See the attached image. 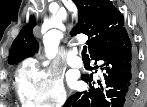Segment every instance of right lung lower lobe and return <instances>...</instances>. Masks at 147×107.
<instances>
[{"label": "right lung lower lobe", "mask_w": 147, "mask_h": 107, "mask_svg": "<svg viewBox=\"0 0 147 107\" xmlns=\"http://www.w3.org/2000/svg\"><path fill=\"white\" fill-rule=\"evenodd\" d=\"M91 58L100 62L102 77L98 87L91 84L92 75H83L82 80L90 89L77 92L68 98L64 107H129L136 79L135 57L126 29L94 50ZM95 84V82H93Z\"/></svg>", "instance_id": "right-lung-lower-lobe-1"}]
</instances>
